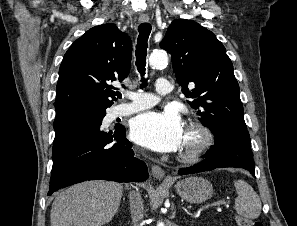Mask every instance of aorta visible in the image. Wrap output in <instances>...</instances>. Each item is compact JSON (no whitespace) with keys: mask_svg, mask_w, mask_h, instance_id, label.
Instances as JSON below:
<instances>
[{"mask_svg":"<svg viewBox=\"0 0 297 226\" xmlns=\"http://www.w3.org/2000/svg\"><path fill=\"white\" fill-rule=\"evenodd\" d=\"M149 64L153 68H161L168 64V56L164 51H155L150 54ZM157 226H165L163 222H158Z\"/></svg>","mask_w":297,"mask_h":226,"instance_id":"aorta-1","label":"aorta"}]
</instances>
